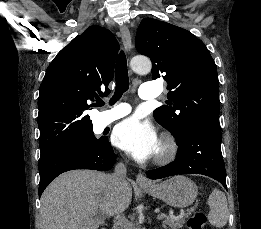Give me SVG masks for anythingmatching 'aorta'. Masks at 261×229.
Listing matches in <instances>:
<instances>
[{"label":"aorta","instance_id":"aorta-1","mask_svg":"<svg viewBox=\"0 0 261 229\" xmlns=\"http://www.w3.org/2000/svg\"><path fill=\"white\" fill-rule=\"evenodd\" d=\"M130 66L137 74H148L152 68V62L148 56H133Z\"/></svg>","mask_w":261,"mask_h":229}]
</instances>
